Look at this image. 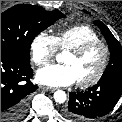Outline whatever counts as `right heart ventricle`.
<instances>
[{
	"mask_svg": "<svg viewBox=\"0 0 122 122\" xmlns=\"http://www.w3.org/2000/svg\"><path fill=\"white\" fill-rule=\"evenodd\" d=\"M54 37L61 50H70L87 42L100 40L97 32L88 25H75L59 30Z\"/></svg>",
	"mask_w": 122,
	"mask_h": 122,
	"instance_id": "obj_1",
	"label": "right heart ventricle"
}]
</instances>
